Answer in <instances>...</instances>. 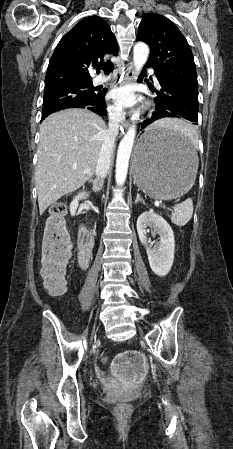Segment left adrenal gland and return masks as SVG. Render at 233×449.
Wrapping results in <instances>:
<instances>
[{
  "label": "left adrenal gland",
  "mask_w": 233,
  "mask_h": 449,
  "mask_svg": "<svg viewBox=\"0 0 233 449\" xmlns=\"http://www.w3.org/2000/svg\"><path fill=\"white\" fill-rule=\"evenodd\" d=\"M138 202H142L143 204H145L144 200L142 198H140L139 194H137V196H136L135 204H137Z\"/></svg>",
  "instance_id": "left-adrenal-gland-1"
}]
</instances>
